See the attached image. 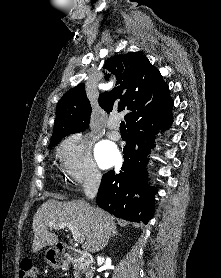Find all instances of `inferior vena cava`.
Returning a JSON list of instances; mask_svg holds the SVG:
<instances>
[{
	"instance_id": "602c4592",
	"label": "inferior vena cava",
	"mask_w": 221,
	"mask_h": 278,
	"mask_svg": "<svg viewBox=\"0 0 221 278\" xmlns=\"http://www.w3.org/2000/svg\"><path fill=\"white\" fill-rule=\"evenodd\" d=\"M101 182V174L97 170L90 172L89 178L84 185V193L88 199H93L97 195Z\"/></svg>"
}]
</instances>
